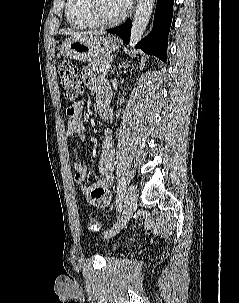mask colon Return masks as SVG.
<instances>
[{
    "label": "colon",
    "instance_id": "1",
    "mask_svg": "<svg viewBox=\"0 0 239 303\" xmlns=\"http://www.w3.org/2000/svg\"><path fill=\"white\" fill-rule=\"evenodd\" d=\"M60 83L64 92V96L69 101H74L82 92L81 80L77 69L69 63H63L59 69ZM86 226L91 232H99L101 230V222L95 216L86 218Z\"/></svg>",
    "mask_w": 239,
    "mask_h": 303
}]
</instances>
